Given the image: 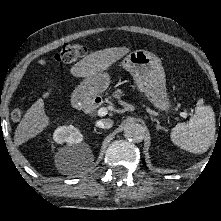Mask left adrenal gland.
<instances>
[{
    "mask_svg": "<svg viewBox=\"0 0 221 221\" xmlns=\"http://www.w3.org/2000/svg\"><path fill=\"white\" fill-rule=\"evenodd\" d=\"M151 120L155 121L157 123V126H156L157 130H165V128L160 125V122L157 119H154V118L151 117Z\"/></svg>",
    "mask_w": 221,
    "mask_h": 221,
    "instance_id": "obj_1",
    "label": "left adrenal gland"
}]
</instances>
